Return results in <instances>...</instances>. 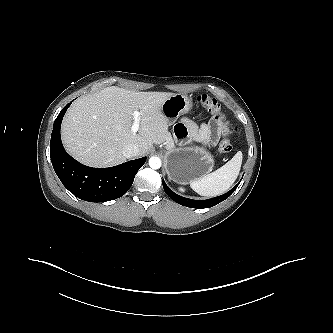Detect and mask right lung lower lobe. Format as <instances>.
Listing matches in <instances>:
<instances>
[{
    "mask_svg": "<svg viewBox=\"0 0 333 333\" xmlns=\"http://www.w3.org/2000/svg\"><path fill=\"white\" fill-rule=\"evenodd\" d=\"M70 104L57 116L50 141V157L57 176L72 194L85 201L106 202L123 196L146 157L110 168H92L76 161L67 154L60 137L61 122Z\"/></svg>",
    "mask_w": 333,
    "mask_h": 333,
    "instance_id": "98d812e1",
    "label": "right lung lower lobe"
}]
</instances>
